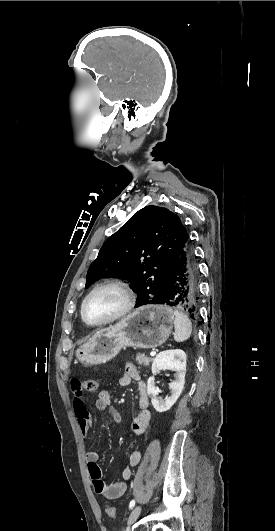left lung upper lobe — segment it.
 <instances>
[{"label": "left lung upper lobe", "mask_w": 275, "mask_h": 531, "mask_svg": "<svg viewBox=\"0 0 275 531\" xmlns=\"http://www.w3.org/2000/svg\"><path fill=\"white\" fill-rule=\"evenodd\" d=\"M187 240L175 213L146 206L105 241L89 267L86 288L101 278L118 277L128 280L137 293L135 307L157 303L166 293Z\"/></svg>", "instance_id": "left-lung-upper-lobe-1"}]
</instances>
